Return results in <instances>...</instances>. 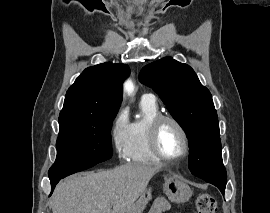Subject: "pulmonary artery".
<instances>
[{"instance_id": "obj_1", "label": "pulmonary artery", "mask_w": 270, "mask_h": 213, "mask_svg": "<svg viewBox=\"0 0 270 213\" xmlns=\"http://www.w3.org/2000/svg\"><path fill=\"white\" fill-rule=\"evenodd\" d=\"M142 98H148V99H152V100H155L154 96L152 94H144L142 96Z\"/></svg>"}]
</instances>
